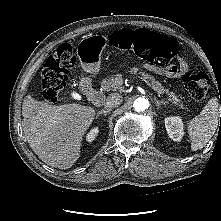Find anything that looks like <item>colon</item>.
<instances>
[{
  "label": "colon",
  "instance_id": "1",
  "mask_svg": "<svg viewBox=\"0 0 221 221\" xmlns=\"http://www.w3.org/2000/svg\"><path fill=\"white\" fill-rule=\"evenodd\" d=\"M113 44L122 49H133L147 64L161 68L172 66L178 56L176 40L155 34L145 29H122L111 36ZM77 64L73 47L69 43L59 45L49 56L42 72L41 91L45 101L55 103L66 86ZM181 82L193 100L204 101L208 95L209 77L204 72H183Z\"/></svg>",
  "mask_w": 221,
  "mask_h": 221
}]
</instances>
